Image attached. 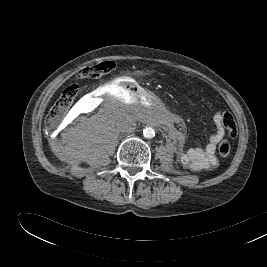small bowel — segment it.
I'll list each match as a JSON object with an SVG mask.
<instances>
[{
	"instance_id": "c3829d8e",
	"label": "small bowel",
	"mask_w": 267,
	"mask_h": 267,
	"mask_svg": "<svg viewBox=\"0 0 267 267\" xmlns=\"http://www.w3.org/2000/svg\"><path fill=\"white\" fill-rule=\"evenodd\" d=\"M224 114L216 111L213 114V121L215 123V132L210 136L207 145L204 148H188L180 149L178 151V158L180 162L192 170H208L217 166L218 160L215 155L217 145L228 133L224 125ZM172 136L181 140L180 133L174 129H170Z\"/></svg>"
}]
</instances>
